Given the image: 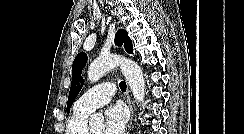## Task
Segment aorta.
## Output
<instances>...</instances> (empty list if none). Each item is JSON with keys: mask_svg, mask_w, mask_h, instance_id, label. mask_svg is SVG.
<instances>
[{"mask_svg": "<svg viewBox=\"0 0 244 134\" xmlns=\"http://www.w3.org/2000/svg\"><path fill=\"white\" fill-rule=\"evenodd\" d=\"M115 67H120L136 102L143 104L145 99V79L143 72L139 65L130 59L118 55L99 57L94 60L88 68V80L94 83ZM102 121L103 116L100 113L91 116V122Z\"/></svg>", "mask_w": 244, "mask_h": 134, "instance_id": "1", "label": "aorta"}]
</instances>
